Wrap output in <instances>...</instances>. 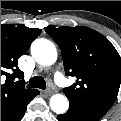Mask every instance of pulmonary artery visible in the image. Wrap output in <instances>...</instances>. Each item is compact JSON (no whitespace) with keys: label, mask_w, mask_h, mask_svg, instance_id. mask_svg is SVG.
Segmentation results:
<instances>
[{"label":"pulmonary artery","mask_w":121,"mask_h":121,"mask_svg":"<svg viewBox=\"0 0 121 121\" xmlns=\"http://www.w3.org/2000/svg\"><path fill=\"white\" fill-rule=\"evenodd\" d=\"M58 77H59V73L56 72L55 75H54L55 80L58 81ZM62 77H63V76H62ZM63 78H64V77H63ZM58 84H59V85H63L64 83H63V81L60 80V82L58 81Z\"/></svg>","instance_id":"pulmonary-artery-1"}]
</instances>
